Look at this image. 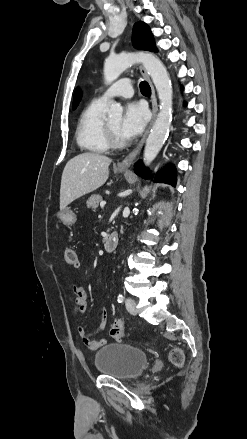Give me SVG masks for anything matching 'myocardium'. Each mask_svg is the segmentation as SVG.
I'll use <instances>...</instances> for the list:
<instances>
[{"label":"myocardium","instance_id":"1","mask_svg":"<svg viewBox=\"0 0 247 439\" xmlns=\"http://www.w3.org/2000/svg\"><path fill=\"white\" fill-rule=\"evenodd\" d=\"M105 135H106V140H107L109 146L112 148H122L126 145V141L119 139L116 136V134L113 131V129L111 128L110 124L106 120H105Z\"/></svg>","mask_w":247,"mask_h":439}]
</instances>
